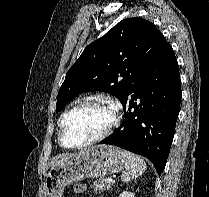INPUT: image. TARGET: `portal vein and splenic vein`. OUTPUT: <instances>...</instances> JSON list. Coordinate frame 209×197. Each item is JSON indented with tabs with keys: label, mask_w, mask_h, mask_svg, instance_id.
I'll return each mask as SVG.
<instances>
[{
	"label": "portal vein and splenic vein",
	"mask_w": 209,
	"mask_h": 197,
	"mask_svg": "<svg viewBox=\"0 0 209 197\" xmlns=\"http://www.w3.org/2000/svg\"><path fill=\"white\" fill-rule=\"evenodd\" d=\"M106 181H107L108 183H112V182H113V179H112V178H107Z\"/></svg>",
	"instance_id": "obj_1"
}]
</instances>
